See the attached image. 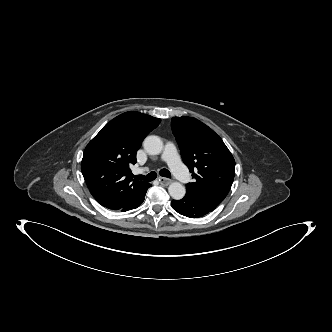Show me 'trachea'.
Here are the masks:
<instances>
[{
    "label": "trachea",
    "mask_w": 332,
    "mask_h": 332,
    "mask_svg": "<svg viewBox=\"0 0 332 332\" xmlns=\"http://www.w3.org/2000/svg\"><path fill=\"white\" fill-rule=\"evenodd\" d=\"M159 174L163 177L171 178V173L167 169H161ZM156 177H157V173L155 171L150 172L146 176H144V175L135 176V178L138 180H145L148 182L155 180Z\"/></svg>",
    "instance_id": "obj_1"
}]
</instances>
